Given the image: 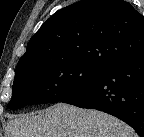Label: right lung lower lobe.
<instances>
[{"instance_id": "right-lung-lower-lobe-1", "label": "right lung lower lobe", "mask_w": 144, "mask_h": 137, "mask_svg": "<svg viewBox=\"0 0 144 137\" xmlns=\"http://www.w3.org/2000/svg\"><path fill=\"white\" fill-rule=\"evenodd\" d=\"M62 102L111 114L144 137V50L112 65Z\"/></svg>"}]
</instances>
